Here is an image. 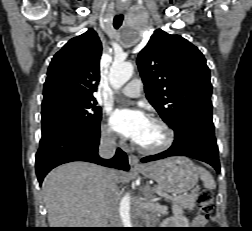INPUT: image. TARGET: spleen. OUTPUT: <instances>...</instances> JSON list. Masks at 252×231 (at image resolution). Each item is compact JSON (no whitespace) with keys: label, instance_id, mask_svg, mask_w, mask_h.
<instances>
[{"label":"spleen","instance_id":"3e777b00","mask_svg":"<svg viewBox=\"0 0 252 231\" xmlns=\"http://www.w3.org/2000/svg\"><path fill=\"white\" fill-rule=\"evenodd\" d=\"M197 173L199 174L200 179L203 181L205 188H208V189H215L216 188L215 181H214L212 175L207 170H205L202 167H199L197 169Z\"/></svg>","mask_w":252,"mask_h":231}]
</instances>
